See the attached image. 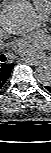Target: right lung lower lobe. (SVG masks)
<instances>
[{"label":"right lung lower lobe","mask_w":51,"mask_h":153,"mask_svg":"<svg viewBox=\"0 0 51 153\" xmlns=\"http://www.w3.org/2000/svg\"><path fill=\"white\" fill-rule=\"evenodd\" d=\"M0 62V89L8 80L15 64H7Z\"/></svg>","instance_id":"1"}]
</instances>
